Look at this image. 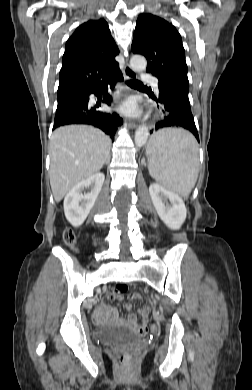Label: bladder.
I'll return each mask as SVG.
<instances>
[{
	"mask_svg": "<svg viewBox=\"0 0 252 390\" xmlns=\"http://www.w3.org/2000/svg\"><path fill=\"white\" fill-rule=\"evenodd\" d=\"M94 338L96 341L101 343H122V344H134L139 339L129 330L110 325H99L97 326Z\"/></svg>",
	"mask_w": 252,
	"mask_h": 390,
	"instance_id": "1",
	"label": "bladder"
}]
</instances>
